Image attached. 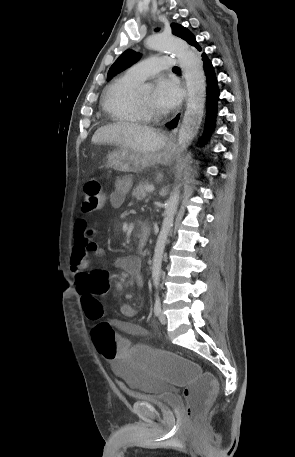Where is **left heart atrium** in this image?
Returning <instances> with one entry per match:
<instances>
[{
  "mask_svg": "<svg viewBox=\"0 0 295 457\" xmlns=\"http://www.w3.org/2000/svg\"><path fill=\"white\" fill-rule=\"evenodd\" d=\"M181 99L180 90L172 80L161 78L154 87L152 94L153 106L160 111H169L175 108Z\"/></svg>",
  "mask_w": 295,
  "mask_h": 457,
  "instance_id": "obj_1",
  "label": "left heart atrium"
}]
</instances>
